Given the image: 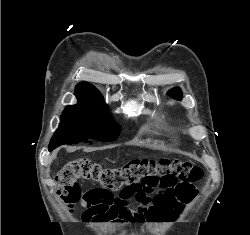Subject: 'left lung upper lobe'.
<instances>
[{
    "label": "left lung upper lobe",
    "instance_id": "obj_1",
    "mask_svg": "<svg viewBox=\"0 0 250 235\" xmlns=\"http://www.w3.org/2000/svg\"><path fill=\"white\" fill-rule=\"evenodd\" d=\"M168 95L172 96L173 98L180 100L182 98V92L180 88L175 87L167 92Z\"/></svg>",
    "mask_w": 250,
    "mask_h": 235
}]
</instances>
